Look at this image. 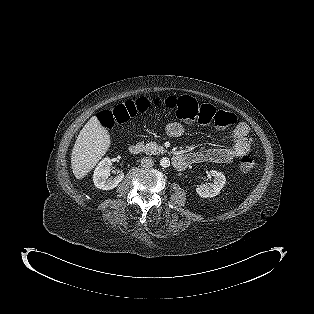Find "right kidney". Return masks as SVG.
<instances>
[{
    "label": "right kidney",
    "mask_w": 314,
    "mask_h": 314,
    "mask_svg": "<svg viewBox=\"0 0 314 314\" xmlns=\"http://www.w3.org/2000/svg\"><path fill=\"white\" fill-rule=\"evenodd\" d=\"M112 165L110 158H104L95 168L93 174V182L96 188L102 190H111L118 186L123 180L124 174L121 172L114 178H108L110 175V166Z\"/></svg>",
    "instance_id": "1"
}]
</instances>
